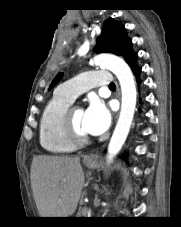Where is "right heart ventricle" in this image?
Listing matches in <instances>:
<instances>
[{
    "label": "right heart ventricle",
    "mask_w": 181,
    "mask_h": 227,
    "mask_svg": "<svg viewBox=\"0 0 181 227\" xmlns=\"http://www.w3.org/2000/svg\"><path fill=\"white\" fill-rule=\"evenodd\" d=\"M72 101L57 92L44 107L39 124V140L41 146L53 154L72 152L76 145L67 137L63 118Z\"/></svg>",
    "instance_id": "1"
}]
</instances>
